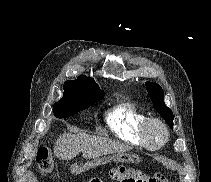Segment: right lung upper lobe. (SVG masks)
Segmentation results:
<instances>
[{
    "label": "right lung upper lobe",
    "mask_w": 211,
    "mask_h": 182,
    "mask_svg": "<svg viewBox=\"0 0 211 182\" xmlns=\"http://www.w3.org/2000/svg\"><path fill=\"white\" fill-rule=\"evenodd\" d=\"M67 82L73 83V84H75L77 86H80V87L91 89V90H93V91H95L97 93L104 94V92L100 89V87L94 81V79L93 78H89V77H87L85 75H81L76 80H70V81H67Z\"/></svg>",
    "instance_id": "cb5924a9"
}]
</instances>
